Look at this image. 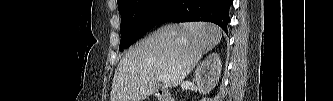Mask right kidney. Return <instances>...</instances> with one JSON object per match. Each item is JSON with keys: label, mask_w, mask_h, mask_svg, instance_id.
Returning a JSON list of instances; mask_svg holds the SVG:
<instances>
[{"label": "right kidney", "mask_w": 333, "mask_h": 101, "mask_svg": "<svg viewBox=\"0 0 333 101\" xmlns=\"http://www.w3.org/2000/svg\"><path fill=\"white\" fill-rule=\"evenodd\" d=\"M221 60L218 53L209 54L195 70V80L201 93H209L218 83L221 74Z\"/></svg>", "instance_id": "1"}]
</instances>
